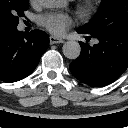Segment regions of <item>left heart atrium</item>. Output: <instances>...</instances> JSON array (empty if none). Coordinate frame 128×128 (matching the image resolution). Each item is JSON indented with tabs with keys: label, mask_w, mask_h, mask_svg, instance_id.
<instances>
[{
	"label": "left heart atrium",
	"mask_w": 128,
	"mask_h": 128,
	"mask_svg": "<svg viewBox=\"0 0 128 128\" xmlns=\"http://www.w3.org/2000/svg\"><path fill=\"white\" fill-rule=\"evenodd\" d=\"M38 23L49 32L61 35L73 24V19L66 13H46L39 17Z\"/></svg>",
	"instance_id": "obj_1"
}]
</instances>
